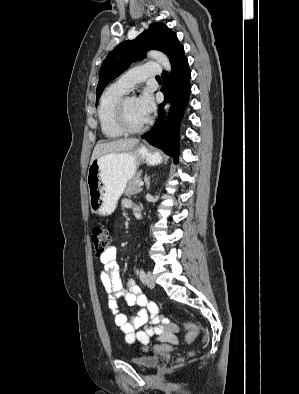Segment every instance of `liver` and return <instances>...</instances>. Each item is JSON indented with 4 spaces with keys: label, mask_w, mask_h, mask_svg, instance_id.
<instances>
[{
    "label": "liver",
    "mask_w": 299,
    "mask_h": 394,
    "mask_svg": "<svg viewBox=\"0 0 299 394\" xmlns=\"http://www.w3.org/2000/svg\"><path fill=\"white\" fill-rule=\"evenodd\" d=\"M139 140L135 138L118 139L110 142L98 143L92 153L90 163L96 158L109 153L130 152L138 144Z\"/></svg>",
    "instance_id": "1"
}]
</instances>
